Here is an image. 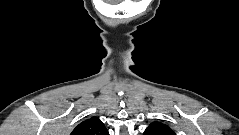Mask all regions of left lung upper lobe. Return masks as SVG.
I'll list each match as a JSON object with an SVG mask.
<instances>
[{
	"instance_id": "1",
	"label": "left lung upper lobe",
	"mask_w": 239,
	"mask_h": 135,
	"mask_svg": "<svg viewBox=\"0 0 239 135\" xmlns=\"http://www.w3.org/2000/svg\"><path fill=\"white\" fill-rule=\"evenodd\" d=\"M145 135H175L167 125L160 122L151 123L144 132Z\"/></svg>"
}]
</instances>
